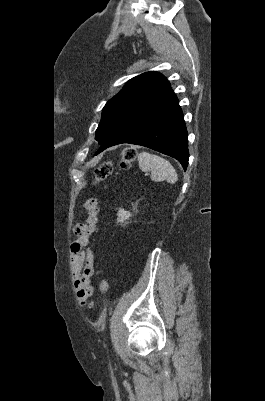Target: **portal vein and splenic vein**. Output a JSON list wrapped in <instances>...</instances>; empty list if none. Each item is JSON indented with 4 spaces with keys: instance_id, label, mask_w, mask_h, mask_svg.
I'll return each instance as SVG.
<instances>
[{
    "instance_id": "portal-vein-and-splenic-vein-1",
    "label": "portal vein and splenic vein",
    "mask_w": 265,
    "mask_h": 401,
    "mask_svg": "<svg viewBox=\"0 0 265 401\" xmlns=\"http://www.w3.org/2000/svg\"><path fill=\"white\" fill-rule=\"evenodd\" d=\"M146 175H147V176H150V175H151V172H150V171H147V172H146Z\"/></svg>"
}]
</instances>
